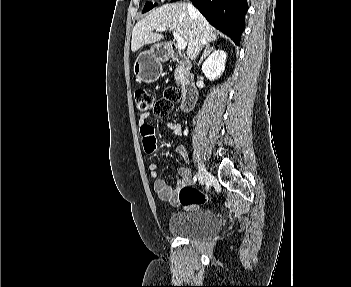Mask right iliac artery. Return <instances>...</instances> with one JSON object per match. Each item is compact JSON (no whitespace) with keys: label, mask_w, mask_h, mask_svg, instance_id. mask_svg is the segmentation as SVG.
<instances>
[{"label":"right iliac artery","mask_w":351,"mask_h":287,"mask_svg":"<svg viewBox=\"0 0 351 287\" xmlns=\"http://www.w3.org/2000/svg\"><path fill=\"white\" fill-rule=\"evenodd\" d=\"M197 179H198V174H195L194 177H193L194 183L197 181Z\"/></svg>","instance_id":"obj_1"}]
</instances>
